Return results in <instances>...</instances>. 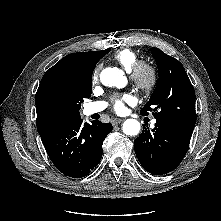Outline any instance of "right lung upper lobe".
<instances>
[{
    "label": "right lung upper lobe",
    "instance_id": "right-lung-upper-lobe-1",
    "mask_svg": "<svg viewBox=\"0 0 221 221\" xmlns=\"http://www.w3.org/2000/svg\"><path fill=\"white\" fill-rule=\"evenodd\" d=\"M109 51L72 53L46 71L35 96L40 136L80 118L79 112L54 107L51 97L86 90L97 62Z\"/></svg>",
    "mask_w": 221,
    "mask_h": 221
}]
</instances>
